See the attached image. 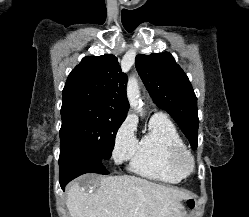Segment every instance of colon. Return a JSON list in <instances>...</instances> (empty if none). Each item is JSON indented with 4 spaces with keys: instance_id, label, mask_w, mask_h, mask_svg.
Here are the masks:
<instances>
[{
    "instance_id": "1",
    "label": "colon",
    "mask_w": 249,
    "mask_h": 217,
    "mask_svg": "<svg viewBox=\"0 0 249 217\" xmlns=\"http://www.w3.org/2000/svg\"><path fill=\"white\" fill-rule=\"evenodd\" d=\"M187 204H188V206H189L190 208H192V207L194 206V201H193L192 199H189V200L187 201Z\"/></svg>"
}]
</instances>
